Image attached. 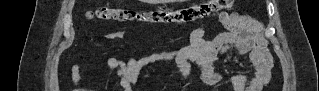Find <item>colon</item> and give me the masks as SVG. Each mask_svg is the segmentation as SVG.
Segmentation results:
<instances>
[{"mask_svg":"<svg viewBox=\"0 0 319 91\" xmlns=\"http://www.w3.org/2000/svg\"><path fill=\"white\" fill-rule=\"evenodd\" d=\"M231 0H211L192 6L176 9H158L136 11L123 7L101 5L88 13L90 19L106 22H140L150 24H183L191 23L198 19L210 16L222 9L231 7ZM262 65L270 69L271 56L266 53L262 57Z\"/></svg>","mask_w":319,"mask_h":91,"instance_id":"5ec220e1","label":"colon"}]
</instances>
